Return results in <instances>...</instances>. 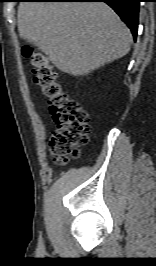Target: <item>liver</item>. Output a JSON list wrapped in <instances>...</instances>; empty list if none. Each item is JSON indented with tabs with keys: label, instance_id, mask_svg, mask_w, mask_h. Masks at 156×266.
I'll list each match as a JSON object with an SVG mask.
<instances>
[{
	"label": "liver",
	"instance_id": "liver-1",
	"mask_svg": "<svg viewBox=\"0 0 156 266\" xmlns=\"http://www.w3.org/2000/svg\"><path fill=\"white\" fill-rule=\"evenodd\" d=\"M17 19L20 36L74 76L125 56L132 43L130 30L102 2H22Z\"/></svg>",
	"mask_w": 156,
	"mask_h": 266
}]
</instances>
